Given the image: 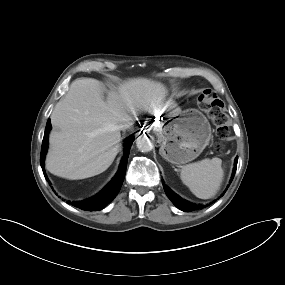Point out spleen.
I'll list each match as a JSON object with an SVG mask.
<instances>
[{
  "mask_svg": "<svg viewBox=\"0 0 285 285\" xmlns=\"http://www.w3.org/2000/svg\"><path fill=\"white\" fill-rule=\"evenodd\" d=\"M224 171L220 158L203 159L181 166L180 178L190 191L200 199L213 197L222 184Z\"/></svg>",
  "mask_w": 285,
  "mask_h": 285,
  "instance_id": "spleen-1",
  "label": "spleen"
}]
</instances>
